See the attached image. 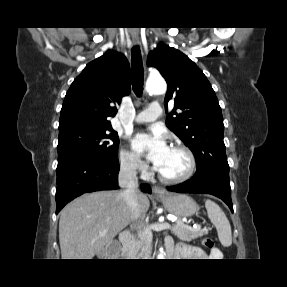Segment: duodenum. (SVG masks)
<instances>
[{
  "instance_id": "duodenum-1",
  "label": "duodenum",
  "mask_w": 287,
  "mask_h": 287,
  "mask_svg": "<svg viewBox=\"0 0 287 287\" xmlns=\"http://www.w3.org/2000/svg\"><path fill=\"white\" fill-rule=\"evenodd\" d=\"M119 244H120L119 253L122 256L130 257L131 256V247H130V245H131V233L129 231L124 230V231H122L120 233V235H119ZM106 251H107L108 254L112 255V252H111L110 248H107ZM167 255L173 258V256L169 252L168 248H167Z\"/></svg>"
}]
</instances>
